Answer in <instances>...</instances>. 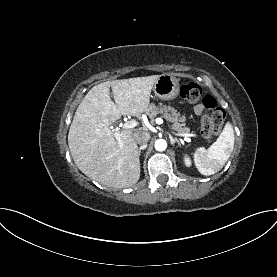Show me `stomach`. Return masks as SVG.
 I'll return each instance as SVG.
<instances>
[{
	"label": "stomach",
	"mask_w": 277,
	"mask_h": 277,
	"mask_svg": "<svg viewBox=\"0 0 277 277\" xmlns=\"http://www.w3.org/2000/svg\"><path fill=\"white\" fill-rule=\"evenodd\" d=\"M153 91L161 100L174 99L179 94V81L171 74H162L155 82Z\"/></svg>",
	"instance_id": "stomach-1"
}]
</instances>
